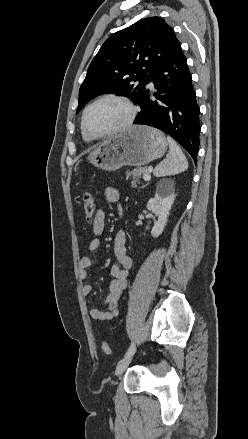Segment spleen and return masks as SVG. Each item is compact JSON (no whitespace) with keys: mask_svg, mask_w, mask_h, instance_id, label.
I'll use <instances>...</instances> for the list:
<instances>
[{"mask_svg":"<svg viewBox=\"0 0 248 439\" xmlns=\"http://www.w3.org/2000/svg\"><path fill=\"white\" fill-rule=\"evenodd\" d=\"M169 155L154 169L156 177L176 175L188 169L187 159L178 144L168 137Z\"/></svg>","mask_w":248,"mask_h":439,"instance_id":"spleen-1","label":"spleen"}]
</instances>
